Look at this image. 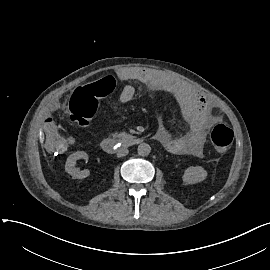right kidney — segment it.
I'll return each mask as SVG.
<instances>
[{
  "label": "right kidney",
  "instance_id": "ca27d5eb",
  "mask_svg": "<svg viewBox=\"0 0 270 270\" xmlns=\"http://www.w3.org/2000/svg\"><path fill=\"white\" fill-rule=\"evenodd\" d=\"M77 159H88V154L84 151H77L70 154L65 163V171L73 178V179H83L90 175L88 170L79 171L74 167L75 161Z\"/></svg>",
  "mask_w": 270,
  "mask_h": 270
}]
</instances>
